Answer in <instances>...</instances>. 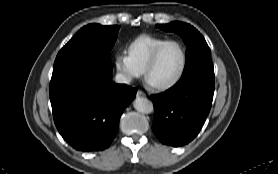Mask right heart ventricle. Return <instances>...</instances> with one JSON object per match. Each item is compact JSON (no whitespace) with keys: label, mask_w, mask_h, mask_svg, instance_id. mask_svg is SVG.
<instances>
[{"label":"right heart ventricle","mask_w":278,"mask_h":174,"mask_svg":"<svg viewBox=\"0 0 278 174\" xmlns=\"http://www.w3.org/2000/svg\"><path fill=\"white\" fill-rule=\"evenodd\" d=\"M164 42L162 39L142 36L136 39L128 48V58L134 67L142 72L153 51Z\"/></svg>","instance_id":"obj_1"}]
</instances>
